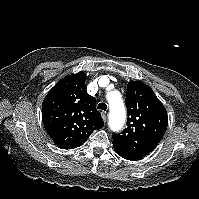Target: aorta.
Returning <instances> with one entry per match:
<instances>
[{
    "mask_svg": "<svg viewBox=\"0 0 199 199\" xmlns=\"http://www.w3.org/2000/svg\"><path fill=\"white\" fill-rule=\"evenodd\" d=\"M109 102V127L113 131H118L122 128L126 119V110L124 103L118 92H110L107 95Z\"/></svg>",
    "mask_w": 199,
    "mask_h": 199,
    "instance_id": "aorta-1",
    "label": "aorta"
}]
</instances>
